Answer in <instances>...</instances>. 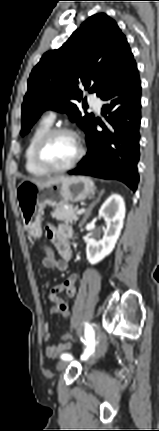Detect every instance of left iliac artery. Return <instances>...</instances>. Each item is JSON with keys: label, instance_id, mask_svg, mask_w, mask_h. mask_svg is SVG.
Masks as SVG:
<instances>
[{"label": "left iliac artery", "instance_id": "obj_1", "mask_svg": "<svg viewBox=\"0 0 159 431\" xmlns=\"http://www.w3.org/2000/svg\"><path fill=\"white\" fill-rule=\"evenodd\" d=\"M85 326H86L85 335H86L87 347L81 357L82 360H87L88 357L93 354L95 349V339H94V332L92 330V327L88 323H85ZM61 358L64 360H72V356L70 354H62Z\"/></svg>", "mask_w": 159, "mask_h": 431}]
</instances>
